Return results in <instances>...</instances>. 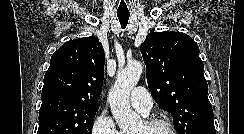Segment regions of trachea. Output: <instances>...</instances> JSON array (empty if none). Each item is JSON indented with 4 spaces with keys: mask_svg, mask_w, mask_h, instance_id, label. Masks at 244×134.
<instances>
[{
    "mask_svg": "<svg viewBox=\"0 0 244 134\" xmlns=\"http://www.w3.org/2000/svg\"><path fill=\"white\" fill-rule=\"evenodd\" d=\"M117 16H118L119 22L121 24V27L125 28L128 24V19L130 16L129 12L128 13H117Z\"/></svg>",
    "mask_w": 244,
    "mask_h": 134,
    "instance_id": "obj_1",
    "label": "trachea"
}]
</instances>
